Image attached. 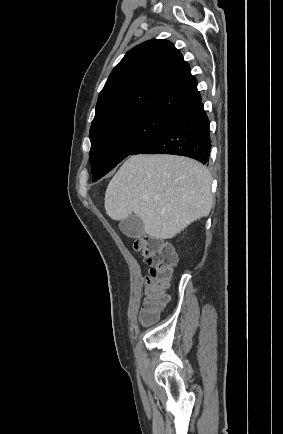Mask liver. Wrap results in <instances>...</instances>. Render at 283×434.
I'll list each match as a JSON object with an SVG mask.
<instances>
[{
	"label": "liver",
	"mask_w": 283,
	"mask_h": 434,
	"mask_svg": "<svg viewBox=\"0 0 283 434\" xmlns=\"http://www.w3.org/2000/svg\"><path fill=\"white\" fill-rule=\"evenodd\" d=\"M212 177L201 163L176 155H134L109 182L105 210L113 220L137 215L145 233L170 239L213 206Z\"/></svg>",
	"instance_id": "6515ba94"
}]
</instances>
